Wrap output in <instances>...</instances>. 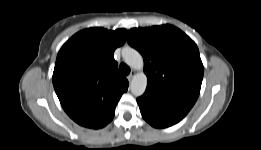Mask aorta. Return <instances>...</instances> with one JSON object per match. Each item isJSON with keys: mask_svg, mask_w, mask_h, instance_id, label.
Returning a JSON list of instances; mask_svg holds the SVG:
<instances>
[{"mask_svg": "<svg viewBox=\"0 0 261 150\" xmlns=\"http://www.w3.org/2000/svg\"><path fill=\"white\" fill-rule=\"evenodd\" d=\"M123 58L125 63L136 70H142L144 61L141 54L133 48H125L123 50ZM147 87V76L143 72H139L134 75L130 89L134 96H141L144 94Z\"/></svg>", "mask_w": 261, "mask_h": 150, "instance_id": "obj_1", "label": "aorta"}]
</instances>
